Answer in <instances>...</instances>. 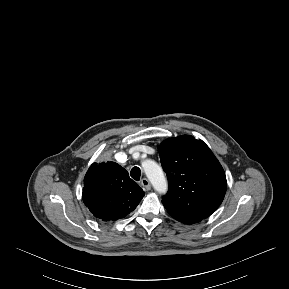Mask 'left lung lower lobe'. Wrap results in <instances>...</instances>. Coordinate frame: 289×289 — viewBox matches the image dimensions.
Wrapping results in <instances>:
<instances>
[{
  "mask_svg": "<svg viewBox=\"0 0 289 289\" xmlns=\"http://www.w3.org/2000/svg\"><path fill=\"white\" fill-rule=\"evenodd\" d=\"M168 213L176 220L185 224H194L204 219L198 216L188 215V214H184V213L172 211V210H168Z\"/></svg>",
  "mask_w": 289,
  "mask_h": 289,
  "instance_id": "0a47b994",
  "label": "left lung lower lobe"
}]
</instances>
